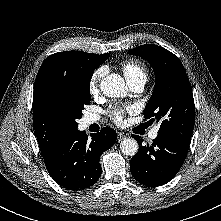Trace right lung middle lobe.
<instances>
[{"label":"right lung middle lobe","mask_w":221,"mask_h":221,"mask_svg":"<svg viewBox=\"0 0 221 221\" xmlns=\"http://www.w3.org/2000/svg\"><path fill=\"white\" fill-rule=\"evenodd\" d=\"M95 69L76 66L52 75L44 84L43 94L50 108L74 127L82 117L84 106L90 104V80Z\"/></svg>","instance_id":"obj_1"}]
</instances>
